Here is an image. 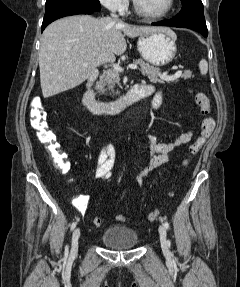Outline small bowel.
Masks as SVG:
<instances>
[{
  "label": "small bowel",
  "mask_w": 240,
  "mask_h": 287,
  "mask_svg": "<svg viewBox=\"0 0 240 287\" xmlns=\"http://www.w3.org/2000/svg\"><path fill=\"white\" fill-rule=\"evenodd\" d=\"M147 96L154 94L153 107L158 109L163 102L161 92H155L153 86L141 85ZM193 136L191 131L184 132L178 135L175 139L169 142H159L155 136L148 137L149 157L144 168L136 175L135 182L141 185L145 177L154 169L168 163L174 152L181 146L187 144ZM115 151L111 145H105L99 152L96 160L95 175L99 179H109L113 176V167L115 164ZM89 203L88 195H79L74 198L73 205L80 212L84 213Z\"/></svg>",
  "instance_id": "small-bowel-1"
}]
</instances>
